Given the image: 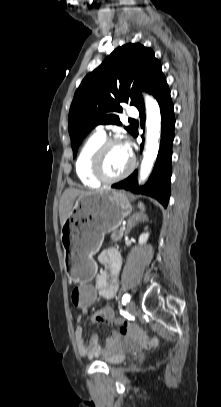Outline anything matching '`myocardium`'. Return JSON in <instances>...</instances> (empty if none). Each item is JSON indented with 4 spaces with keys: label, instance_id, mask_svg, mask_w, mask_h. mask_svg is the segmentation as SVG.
<instances>
[{
    "label": "myocardium",
    "instance_id": "f54148a6",
    "mask_svg": "<svg viewBox=\"0 0 221 407\" xmlns=\"http://www.w3.org/2000/svg\"><path fill=\"white\" fill-rule=\"evenodd\" d=\"M122 144L121 140L118 138H107L105 139L100 145L99 147L96 149V151L94 152L92 158H91V163H90V171L92 176L99 181L100 183H105V184H110V183H115L118 182L120 180L125 179L126 177H128L134 170L135 168V159L133 156H130V163L129 166L127 167V169L117 175V176H107L104 171H103V158L104 155L107 151V149L113 145V144Z\"/></svg>",
    "mask_w": 221,
    "mask_h": 407
}]
</instances>
